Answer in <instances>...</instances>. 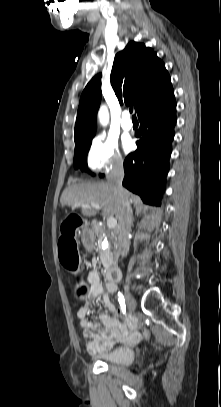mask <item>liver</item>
<instances>
[{
	"instance_id": "liver-1",
	"label": "liver",
	"mask_w": 221,
	"mask_h": 407,
	"mask_svg": "<svg viewBox=\"0 0 221 407\" xmlns=\"http://www.w3.org/2000/svg\"><path fill=\"white\" fill-rule=\"evenodd\" d=\"M129 198L130 194L127 192ZM91 202L98 203L102 207V215L119 220L120 205L114 194V189L108 182L74 184L66 188L60 198L62 206L80 207L84 216L96 215V209ZM80 203L79 206H76Z\"/></svg>"
}]
</instances>
